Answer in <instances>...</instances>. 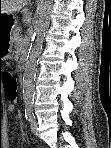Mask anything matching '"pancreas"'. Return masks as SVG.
<instances>
[{"label": "pancreas", "mask_w": 111, "mask_h": 148, "mask_svg": "<svg viewBox=\"0 0 111 148\" xmlns=\"http://www.w3.org/2000/svg\"><path fill=\"white\" fill-rule=\"evenodd\" d=\"M13 35H14V38H15V41H16V45L17 46H23V44H20V42H19V40L22 39V35L19 34L18 28L15 31H13Z\"/></svg>", "instance_id": "cf45deb5"}]
</instances>
